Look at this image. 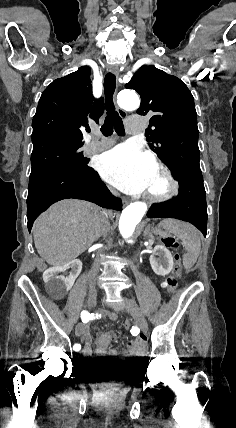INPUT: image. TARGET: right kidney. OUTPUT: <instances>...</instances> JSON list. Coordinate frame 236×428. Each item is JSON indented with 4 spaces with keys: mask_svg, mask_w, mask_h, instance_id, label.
Wrapping results in <instances>:
<instances>
[{
    "mask_svg": "<svg viewBox=\"0 0 236 428\" xmlns=\"http://www.w3.org/2000/svg\"><path fill=\"white\" fill-rule=\"evenodd\" d=\"M71 268V270H67ZM82 270L81 260H72L65 266H54V268H48L43 274V280L45 292H53L52 300L61 301L67 297L66 292L71 290L76 278H78Z\"/></svg>",
    "mask_w": 236,
    "mask_h": 428,
    "instance_id": "ca27d5eb",
    "label": "right kidney"
}]
</instances>
